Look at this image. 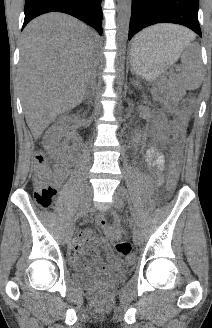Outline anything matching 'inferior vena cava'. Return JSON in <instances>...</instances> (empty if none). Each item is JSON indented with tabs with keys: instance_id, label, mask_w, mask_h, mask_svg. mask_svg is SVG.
<instances>
[{
	"instance_id": "inferior-vena-cava-1",
	"label": "inferior vena cava",
	"mask_w": 212,
	"mask_h": 328,
	"mask_svg": "<svg viewBox=\"0 0 212 328\" xmlns=\"http://www.w3.org/2000/svg\"><path fill=\"white\" fill-rule=\"evenodd\" d=\"M90 85H91V88H93V87H92V86H93V81L90 82Z\"/></svg>"
}]
</instances>
